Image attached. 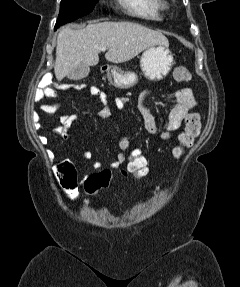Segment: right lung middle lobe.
<instances>
[{"label":"right lung middle lobe","mask_w":240,"mask_h":287,"mask_svg":"<svg viewBox=\"0 0 240 287\" xmlns=\"http://www.w3.org/2000/svg\"><path fill=\"white\" fill-rule=\"evenodd\" d=\"M99 0H62L55 30L67 23L89 14Z\"/></svg>","instance_id":"right-lung-middle-lobe-1"}]
</instances>
